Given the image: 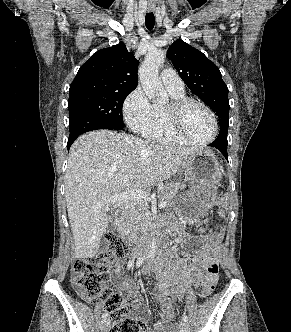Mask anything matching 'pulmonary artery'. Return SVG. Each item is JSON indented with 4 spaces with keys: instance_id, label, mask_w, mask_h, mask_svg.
I'll use <instances>...</instances> for the list:
<instances>
[{
    "instance_id": "e3ab8cb5",
    "label": "pulmonary artery",
    "mask_w": 291,
    "mask_h": 332,
    "mask_svg": "<svg viewBox=\"0 0 291 332\" xmlns=\"http://www.w3.org/2000/svg\"><path fill=\"white\" fill-rule=\"evenodd\" d=\"M161 81L165 88L174 93H182L184 92V84L182 79L176 73L175 70L171 68H166L162 70L160 74Z\"/></svg>"
}]
</instances>
